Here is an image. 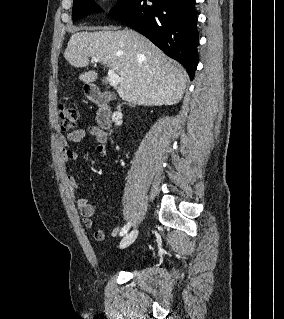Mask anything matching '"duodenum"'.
Returning <instances> with one entry per match:
<instances>
[{"label": "duodenum", "instance_id": "duodenum-1", "mask_svg": "<svg viewBox=\"0 0 284 319\" xmlns=\"http://www.w3.org/2000/svg\"><path fill=\"white\" fill-rule=\"evenodd\" d=\"M88 97L98 106L97 122L103 129H110L112 126V111L110 102L112 95L108 92H102L97 87L88 89Z\"/></svg>", "mask_w": 284, "mask_h": 319}]
</instances>
